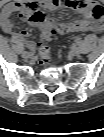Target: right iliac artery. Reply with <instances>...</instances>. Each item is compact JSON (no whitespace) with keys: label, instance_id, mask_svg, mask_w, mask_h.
<instances>
[{"label":"right iliac artery","instance_id":"1","mask_svg":"<svg viewBox=\"0 0 104 137\" xmlns=\"http://www.w3.org/2000/svg\"><path fill=\"white\" fill-rule=\"evenodd\" d=\"M22 50H26L28 52H31V49H29L28 47H22Z\"/></svg>","mask_w":104,"mask_h":137}]
</instances>
